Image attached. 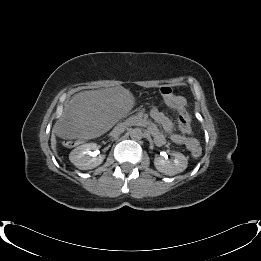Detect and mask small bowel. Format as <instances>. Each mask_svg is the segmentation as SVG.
<instances>
[{"instance_id": "obj_1", "label": "small bowel", "mask_w": 261, "mask_h": 261, "mask_svg": "<svg viewBox=\"0 0 261 261\" xmlns=\"http://www.w3.org/2000/svg\"><path fill=\"white\" fill-rule=\"evenodd\" d=\"M150 116L154 123H150L146 120L138 119V121L145 126H148L155 138L156 143L162 144L163 143V135L159 132L157 126L162 127L166 131H171L173 128V123L172 121L157 107H153L150 112ZM170 138L171 140L179 143V144H184L187 146L191 142H196L198 141L191 135L189 137L184 136L183 134H174L170 133Z\"/></svg>"}]
</instances>
